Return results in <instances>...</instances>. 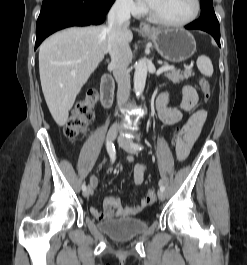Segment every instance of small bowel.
Masks as SVG:
<instances>
[{
	"mask_svg": "<svg viewBox=\"0 0 247 265\" xmlns=\"http://www.w3.org/2000/svg\"><path fill=\"white\" fill-rule=\"evenodd\" d=\"M169 96L168 93L163 92L157 99V112L158 117L165 125H175L179 123L186 114L190 116L186 122L180 127V142L177 149V157L180 161L187 158L190 150L201 133L203 125L206 121L207 113L205 110H194L198 104V94L194 87L186 85L182 89V102L180 108L168 107ZM133 162V158L128 159ZM146 173V166L138 163L134 167V182L136 185H141L144 182ZM98 185L96 176L90 178L91 188ZM147 202L145 198L141 199L140 203L132 207H123L119 198L110 197L105 199L103 203V211L95 207H90L91 215L97 220H108L111 218H122L127 216H134L141 213L146 207Z\"/></svg>",
	"mask_w": 247,
	"mask_h": 265,
	"instance_id": "obj_1",
	"label": "small bowel"
}]
</instances>
